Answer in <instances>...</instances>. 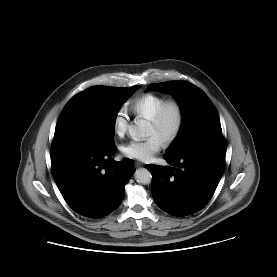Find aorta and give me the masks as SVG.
I'll use <instances>...</instances> for the list:
<instances>
[{"label": "aorta", "instance_id": "aorta-1", "mask_svg": "<svg viewBox=\"0 0 277 277\" xmlns=\"http://www.w3.org/2000/svg\"><path fill=\"white\" fill-rule=\"evenodd\" d=\"M149 125L145 120H138L134 125L128 127L129 134L134 140H139L148 135ZM135 180L141 184H149L152 176L146 168H140L135 171Z\"/></svg>", "mask_w": 277, "mask_h": 277}]
</instances>
